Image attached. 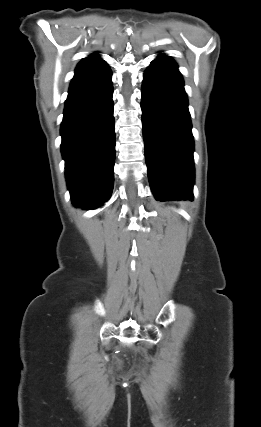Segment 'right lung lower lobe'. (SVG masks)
Here are the masks:
<instances>
[{
    "instance_id": "obj_1",
    "label": "right lung lower lobe",
    "mask_w": 261,
    "mask_h": 427,
    "mask_svg": "<svg viewBox=\"0 0 261 427\" xmlns=\"http://www.w3.org/2000/svg\"><path fill=\"white\" fill-rule=\"evenodd\" d=\"M111 70L105 66L72 79L61 124V151L75 206L95 209L114 184L115 133Z\"/></svg>"
}]
</instances>
